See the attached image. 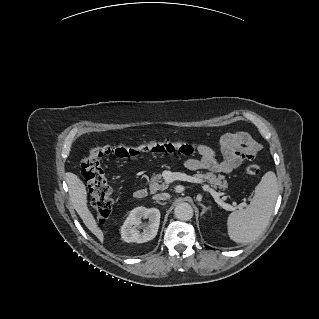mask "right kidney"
<instances>
[{
  "label": "right kidney",
  "instance_id": "right-kidney-1",
  "mask_svg": "<svg viewBox=\"0 0 319 319\" xmlns=\"http://www.w3.org/2000/svg\"><path fill=\"white\" fill-rule=\"evenodd\" d=\"M148 219V223H142ZM160 224V211L156 208H134L121 227V237L126 242L144 243L155 238ZM138 229H142L139 231Z\"/></svg>",
  "mask_w": 319,
  "mask_h": 319
}]
</instances>
